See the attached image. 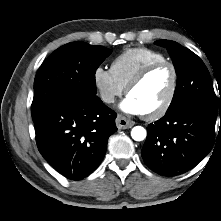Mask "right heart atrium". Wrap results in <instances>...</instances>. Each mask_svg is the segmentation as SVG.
<instances>
[{"label":"right heart atrium","mask_w":221,"mask_h":221,"mask_svg":"<svg viewBox=\"0 0 221 221\" xmlns=\"http://www.w3.org/2000/svg\"><path fill=\"white\" fill-rule=\"evenodd\" d=\"M93 83L100 99L105 104H112L124 92V87L117 81L111 70L98 66L93 72Z\"/></svg>","instance_id":"right-heart-atrium-1"}]
</instances>
